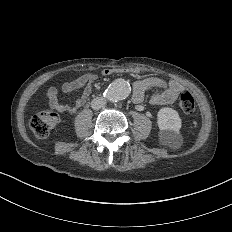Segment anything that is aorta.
I'll list each match as a JSON object with an SVG mask.
<instances>
[{"label": "aorta", "instance_id": "1", "mask_svg": "<svg viewBox=\"0 0 232 232\" xmlns=\"http://www.w3.org/2000/svg\"><path fill=\"white\" fill-rule=\"evenodd\" d=\"M131 91L130 84L123 79L114 80L107 90L105 91V97L113 102L126 99Z\"/></svg>", "mask_w": 232, "mask_h": 232}]
</instances>
